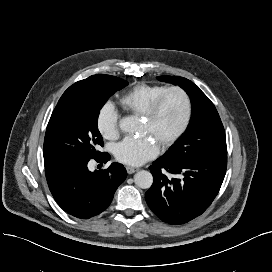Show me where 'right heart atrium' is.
<instances>
[{"instance_id":"1","label":"right heart atrium","mask_w":272,"mask_h":272,"mask_svg":"<svg viewBox=\"0 0 272 272\" xmlns=\"http://www.w3.org/2000/svg\"><path fill=\"white\" fill-rule=\"evenodd\" d=\"M119 114L110 101L104 102L96 115V128L99 134L107 140H114L119 135Z\"/></svg>"}]
</instances>
